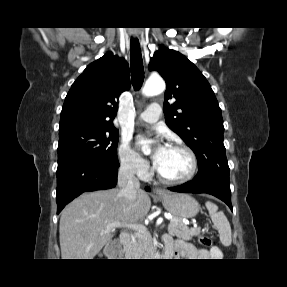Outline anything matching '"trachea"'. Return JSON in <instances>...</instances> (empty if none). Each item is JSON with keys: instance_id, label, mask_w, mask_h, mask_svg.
Here are the masks:
<instances>
[{"instance_id": "1", "label": "trachea", "mask_w": 287, "mask_h": 287, "mask_svg": "<svg viewBox=\"0 0 287 287\" xmlns=\"http://www.w3.org/2000/svg\"><path fill=\"white\" fill-rule=\"evenodd\" d=\"M131 80L135 91L140 90L144 81V67L138 39H131L130 44Z\"/></svg>"}]
</instances>
